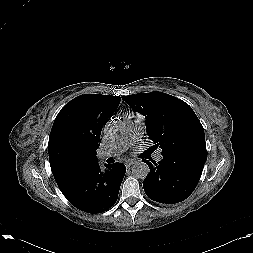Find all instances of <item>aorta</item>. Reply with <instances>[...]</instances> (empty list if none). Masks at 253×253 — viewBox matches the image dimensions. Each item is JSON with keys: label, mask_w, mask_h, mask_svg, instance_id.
Masks as SVG:
<instances>
[{"label": "aorta", "mask_w": 253, "mask_h": 253, "mask_svg": "<svg viewBox=\"0 0 253 253\" xmlns=\"http://www.w3.org/2000/svg\"><path fill=\"white\" fill-rule=\"evenodd\" d=\"M104 131L112 137H117L125 131V124L121 121H109L106 123ZM149 172V166L142 161H138L132 166V174L136 179H146Z\"/></svg>", "instance_id": "obj_1"}]
</instances>
